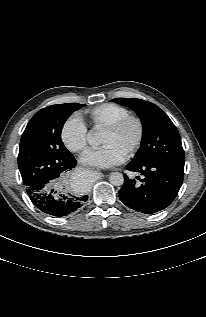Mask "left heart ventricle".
Listing matches in <instances>:
<instances>
[{
    "mask_svg": "<svg viewBox=\"0 0 206 317\" xmlns=\"http://www.w3.org/2000/svg\"><path fill=\"white\" fill-rule=\"evenodd\" d=\"M137 134V126L135 123H130L118 132H106L101 135V142L111 144L117 147L122 152H126L130 145L135 140Z\"/></svg>",
    "mask_w": 206,
    "mask_h": 317,
    "instance_id": "left-heart-ventricle-1",
    "label": "left heart ventricle"
}]
</instances>
